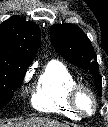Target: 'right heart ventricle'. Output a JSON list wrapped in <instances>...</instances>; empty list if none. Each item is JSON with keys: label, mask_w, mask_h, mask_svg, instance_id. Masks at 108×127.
Instances as JSON below:
<instances>
[{"label": "right heart ventricle", "mask_w": 108, "mask_h": 127, "mask_svg": "<svg viewBox=\"0 0 108 127\" xmlns=\"http://www.w3.org/2000/svg\"><path fill=\"white\" fill-rule=\"evenodd\" d=\"M76 84L74 75L66 65L51 61L43 68L35 83L31 104L40 112L77 117L69 102L70 91Z\"/></svg>", "instance_id": "right-heart-ventricle-1"}]
</instances>
